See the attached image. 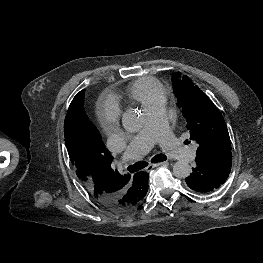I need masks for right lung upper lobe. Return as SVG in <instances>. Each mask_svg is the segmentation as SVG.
Instances as JSON below:
<instances>
[{"label": "right lung upper lobe", "instance_id": "1", "mask_svg": "<svg viewBox=\"0 0 263 263\" xmlns=\"http://www.w3.org/2000/svg\"><path fill=\"white\" fill-rule=\"evenodd\" d=\"M80 92L72 100L64 123L65 144L70 160L78 178L97 202L104 198L126 195L128 204L122 208V212L129 211L139 205L147 188L137 183L136 174L121 175L118 171H113V157L90 121L83 126L72 122Z\"/></svg>", "mask_w": 263, "mask_h": 263}]
</instances>
